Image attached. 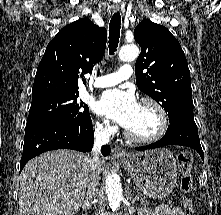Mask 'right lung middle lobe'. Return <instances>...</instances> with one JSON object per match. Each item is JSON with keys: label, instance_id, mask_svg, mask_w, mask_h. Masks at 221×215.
<instances>
[{"label": "right lung middle lobe", "instance_id": "1", "mask_svg": "<svg viewBox=\"0 0 221 215\" xmlns=\"http://www.w3.org/2000/svg\"><path fill=\"white\" fill-rule=\"evenodd\" d=\"M79 92L50 95L31 103L26 126L59 122L78 125L90 119L89 109L77 100Z\"/></svg>", "mask_w": 221, "mask_h": 215}]
</instances>
